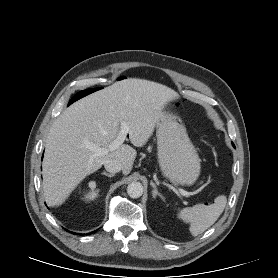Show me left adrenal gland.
<instances>
[{
    "mask_svg": "<svg viewBox=\"0 0 278 278\" xmlns=\"http://www.w3.org/2000/svg\"><path fill=\"white\" fill-rule=\"evenodd\" d=\"M150 184H151V186L153 187V190H152V196H153V198H156V196H159L162 200H164L163 195H162L161 193L158 192L155 183L151 181Z\"/></svg>",
    "mask_w": 278,
    "mask_h": 278,
    "instance_id": "a2214340",
    "label": "left adrenal gland"
}]
</instances>
